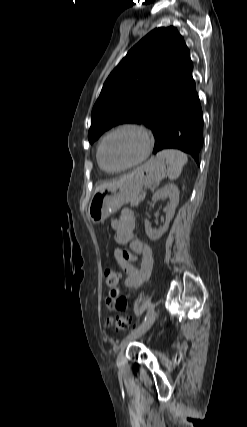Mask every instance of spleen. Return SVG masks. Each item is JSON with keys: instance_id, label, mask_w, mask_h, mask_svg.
<instances>
[{"instance_id": "1", "label": "spleen", "mask_w": 247, "mask_h": 427, "mask_svg": "<svg viewBox=\"0 0 247 427\" xmlns=\"http://www.w3.org/2000/svg\"><path fill=\"white\" fill-rule=\"evenodd\" d=\"M158 159L165 160L168 164L167 174L170 180H176L181 172L183 166L187 163V155L180 150L166 149L157 154Z\"/></svg>"}]
</instances>
